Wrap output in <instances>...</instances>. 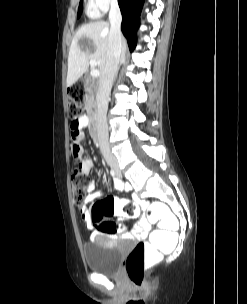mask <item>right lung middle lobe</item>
I'll use <instances>...</instances> for the list:
<instances>
[{"instance_id": "dd1d6c3e", "label": "right lung middle lobe", "mask_w": 247, "mask_h": 304, "mask_svg": "<svg viewBox=\"0 0 247 304\" xmlns=\"http://www.w3.org/2000/svg\"><path fill=\"white\" fill-rule=\"evenodd\" d=\"M82 7H83V0H80V4H79V8H78V16L80 17L81 13H82Z\"/></svg>"}]
</instances>
